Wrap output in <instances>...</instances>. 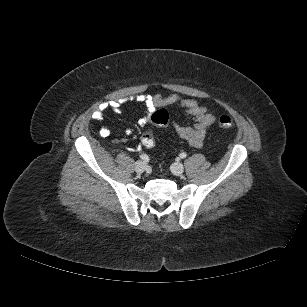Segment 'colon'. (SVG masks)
Returning a JSON list of instances; mask_svg holds the SVG:
<instances>
[{
  "label": "colon",
  "instance_id": "colon-1",
  "mask_svg": "<svg viewBox=\"0 0 307 307\" xmlns=\"http://www.w3.org/2000/svg\"><path fill=\"white\" fill-rule=\"evenodd\" d=\"M151 121L156 126H165L169 122V114L165 109H159L151 115ZM219 127L231 128L233 120L227 115H222L218 120ZM141 144L143 147L151 149L155 146V137L151 130L145 131L141 136Z\"/></svg>",
  "mask_w": 307,
  "mask_h": 307
}]
</instances>
